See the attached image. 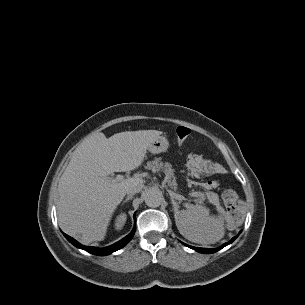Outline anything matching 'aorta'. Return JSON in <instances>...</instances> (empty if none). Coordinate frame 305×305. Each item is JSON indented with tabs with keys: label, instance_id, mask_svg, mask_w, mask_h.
I'll list each match as a JSON object with an SVG mask.
<instances>
[{
	"label": "aorta",
	"instance_id": "aorta-1",
	"mask_svg": "<svg viewBox=\"0 0 305 305\" xmlns=\"http://www.w3.org/2000/svg\"><path fill=\"white\" fill-rule=\"evenodd\" d=\"M162 200L161 193L156 190H148L144 195V201L148 207H159Z\"/></svg>",
	"mask_w": 305,
	"mask_h": 305
}]
</instances>
